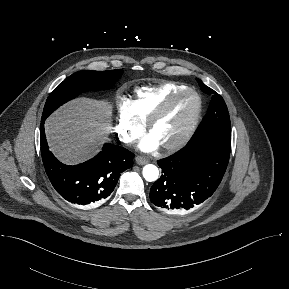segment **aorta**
<instances>
[{"label": "aorta", "instance_id": "aorta-1", "mask_svg": "<svg viewBox=\"0 0 289 289\" xmlns=\"http://www.w3.org/2000/svg\"><path fill=\"white\" fill-rule=\"evenodd\" d=\"M159 176V170L158 168L153 164H148L144 166L143 168V177L146 181L153 182L158 179Z\"/></svg>", "mask_w": 289, "mask_h": 289}]
</instances>
